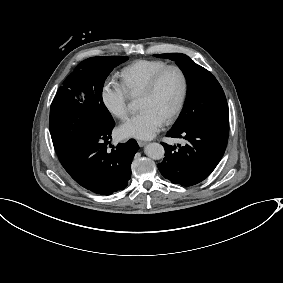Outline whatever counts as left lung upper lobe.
Returning <instances> with one entry per match:
<instances>
[{
  "label": "left lung upper lobe",
  "instance_id": "left-lung-upper-lobe-1",
  "mask_svg": "<svg viewBox=\"0 0 283 283\" xmlns=\"http://www.w3.org/2000/svg\"><path fill=\"white\" fill-rule=\"evenodd\" d=\"M156 56L174 60L185 74L188 84L184 108L172 129L184 130L199 124L229 122L224 91L208 70L197 65L185 54Z\"/></svg>",
  "mask_w": 283,
  "mask_h": 283
}]
</instances>
